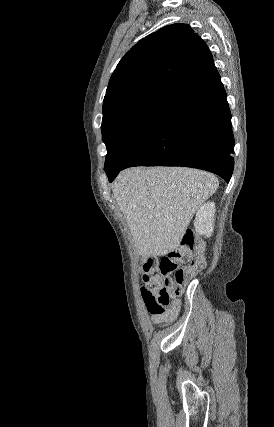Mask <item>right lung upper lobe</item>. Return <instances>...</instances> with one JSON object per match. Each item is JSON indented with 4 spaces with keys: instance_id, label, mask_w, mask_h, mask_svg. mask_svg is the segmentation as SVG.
Listing matches in <instances>:
<instances>
[{
    "instance_id": "1",
    "label": "right lung upper lobe",
    "mask_w": 274,
    "mask_h": 427,
    "mask_svg": "<svg viewBox=\"0 0 274 427\" xmlns=\"http://www.w3.org/2000/svg\"><path fill=\"white\" fill-rule=\"evenodd\" d=\"M218 75L210 50L188 24L168 25L133 46L113 72L103 112L150 94L178 99Z\"/></svg>"
}]
</instances>
